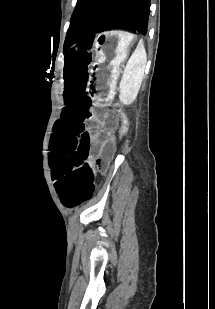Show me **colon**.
Wrapping results in <instances>:
<instances>
[{"label": "colon", "instance_id": "1", "mask_svg": "<svg viewBox=\"0 0 215 309\" xmlns=\"http://www.w3.org/2000/svg\"><path fill=\"white\" fill-rule=\"evenodd\" d=\"M116 109H117V110L119 109L118 106H116ZM121 123H122V130L124 131V129H125V127H126V118H125V117L122 118Z\"/></svg>", "mask_w": 215, "mask_h": 309}]
</instances>
